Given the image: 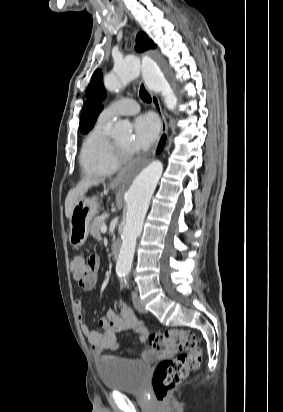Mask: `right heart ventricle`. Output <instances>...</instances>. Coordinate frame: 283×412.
Returning <instances> with one entry per match:
<instances>
[{
    "instance_id": "1",
    "label": "right heart ventricle",
    "mask_w": 283,
    "mask_h": 412,
    "mask_svg": "<svg viewBox=\"0 0 283 412\" xmlns=\"http://www.w3.org/2000/svg\"><path fill=\"white\" fill-rule=\"evenodd\" d=\"M107 122L98 120L85 137L79 155L81 172L86 177L109 176L120 167L106 133Z\"/></svg>"
}]
</instances>
